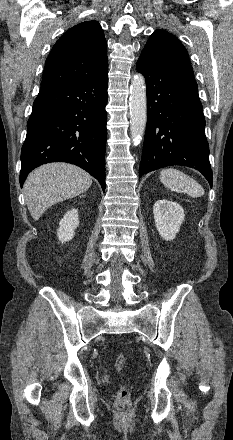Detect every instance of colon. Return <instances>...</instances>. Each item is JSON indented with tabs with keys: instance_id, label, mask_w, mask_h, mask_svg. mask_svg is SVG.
I'll return each instance as SVG.
<instances>
[{
	"instance_id": "colon-1",
	"label": "colon",
	"mask_w": 233,
	"mask_h": 440,
	"mask_svg": "<svg viewBox=\"0 0 233 440\" xmlns=\"http://www.w3.org/2000/svg\"><path fill=\"white\" fill-rule=\"evenodd\" d=\"M115 368L122 371L126 365V356L119 354L115 358ZM131 404V393L127 386L122 385L117 392L115 405L119 410H127Z\"/></svg>"
}]
</instances>
